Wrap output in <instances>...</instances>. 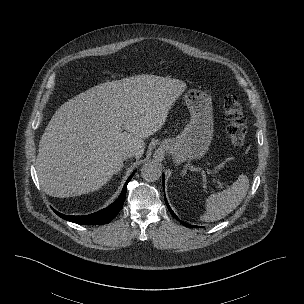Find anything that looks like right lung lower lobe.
I'll return each mask as SVG.
<instances>
[{
	"label": "right lung lower lobe",
	"mask_w": 304,
	"mask_h": 304,
	"mask_svg": "<svg viewBox=\"0 0 304 304\" xmlns=\"http://www.w3.org/2000/svg\"><path fill=\"white\" fill-rule=\"evenodd\" d=\"M135 172H133L131 174V176L128 178V180L126 181L122 192L120 194V196L118 197V199L112 203L110 206L89 214V215H85V216H69V215H64L61 214L57 211L54 212L60 216L61 218L68 220L70 222L73 223H77V224H82V225H101V224H107L109 223L122 209L124 200H125V196H126V189H127V184L128 182L131 180V178L133 177Z\"/></svg>",
	"instance_id": "98d812e1"
}]
</instances>
